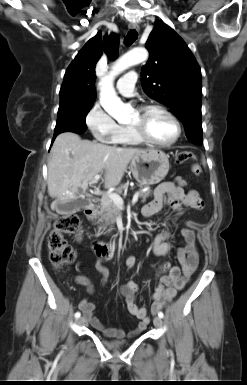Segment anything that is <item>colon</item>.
<instances>
[{
	"label": "colon",
	"mask_w": 247,
	"mask_h": 385,
	"mask_svg": "<svg viewBox=\"0 0 247 385\" xmlns=\"http://www.w3.org/2000/svg\"><path fill=\"white\" fill-rule=\"evenodd\" d=\"M195 159L194 153L182 151L178 153L176 162L178 164L190 163ZM192 172L202 176V168L198 164L192 165ZM80 218L76 214L64 215L56 219L48 235V247L50 249V261L56 268H63L74 262L76 253L67 243L65 235L73 234L79 230ZM166 269V267H164Z\"/></svg>",
	"instance_id": "1"
}]
</instances>
